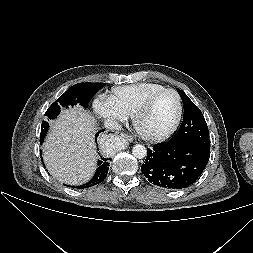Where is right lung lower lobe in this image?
Masks as SVG:
<instances>
[{
	"label": "right lung lower lobe",
	"mask_w": 253,
	"mask_h": 253,
	"mask_svg": "<svg viewBox=\"0 0 253 253\" xmlns=\"http://www.w3.org/2000/svg\"><path fill=\"white\" fill-rule=\"evenodd\" d=\"M101 131H104V129ZM101 131L97 132L96 136H98ZM40 141L42 142V140ZM109 160L111 159L101 157V160L98 162L97 171L94 174L93 178L86 184L77 186V188H87L101 183L107 176L109 170Z\"/></svg>",
	"instance_id": "obj_1"
}]
</instances>
